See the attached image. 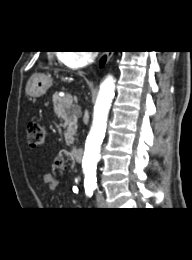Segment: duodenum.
Instances as JSON below:
<instances>
[{"label":"duodenum","instance_id":"obj_1","mask_svg":"<svg viewBox=\"0 0 192 260\" xmlns=\"http://www.w3.org/2000/svg\"><path fill=\"white\" fill-rule=\"evenodd\" d=\"M71 155L77 162L82 161V158H83V148L82 147H74L71 150Z\"/></svg>","mask_w":192,"mask_h":260}]
</instances>
